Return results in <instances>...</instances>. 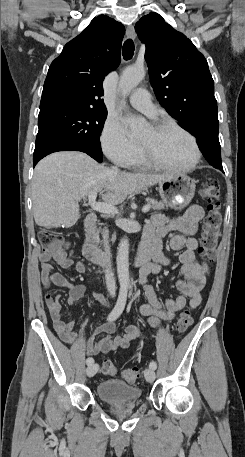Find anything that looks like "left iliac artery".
I'll return each instance as SVG.
<instances>
[{
    "mask_svg": "<svg viewBox=\"0 0 245 457\" xmlns=\"http://www.w3.org/2000/svg\"><path fill=\"white\" fill-rule=\"evenodd\" d=\"M149 367L155 370L157 368V363L155 361H151Z\"/></svg>",
    "mask_w": 245,
    "mask_h": 457,
    "instance_id": "left-iliac-artery-1",
    "label": "left iliac artery"
}]
</instances>
